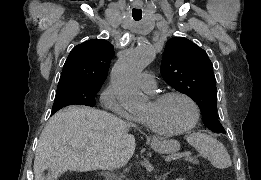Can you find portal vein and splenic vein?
<instances>
[{"label": "portal vein and splenic vein", "mask_w": 261, "mask_h": 180, "mask_svg": "<svg viewBox=\"0 0 261 180\" xmlns=\"http://www.w3.org/2000/svg\"><path fill=\"white\" fill-rule=\"evenodd\" d=\"M178 155H183L184 156V159L182 161L193 160V153L183 152V154H178Z\"/></svg>", "instance_id": "obj_1"}]
</instances>
